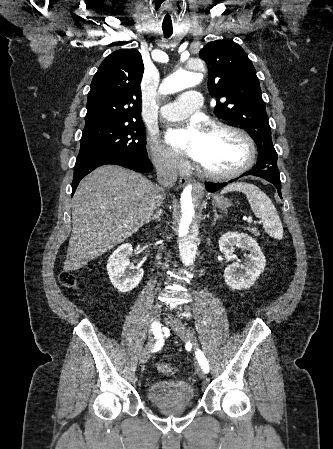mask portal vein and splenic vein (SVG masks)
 Wrapping results in <instances>:
<instances>
[{
  "instance_id": "18ae733b",
  "label": "portal vein and splenic vein",
  "mask_w": 333,
  "mask_h": 449,
  "mask_svg": "<svg viewBox=\"0 0 333 449\" xmlns=\"http://www.w3.org/2000/svg\"><path fill=\"white\" fill-rule=\"evenodd\" d=\"M247 222H248L249 224H251V223L253 222L252 218H251V217L247 218Z\"/></svg>"
}]
</instances>
